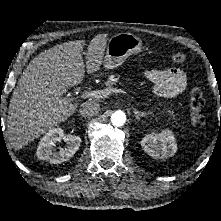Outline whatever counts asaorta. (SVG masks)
I'll return each instance as SVG.
<instances>
[{
    "instance_id": "aorta-1",
    "label": "aorta",
    "mask_w": 221,
    "mask_h": 221,
    "mask_svg": "<svg viewBox=\"0 0 221 221\" xmlns=\"http://www.w3.org/2000/svg\"><path fill=\"white\" fill-rule=\"evenodd\" d=\"M126 122V115L123 111H115L111 116V123L114 126L121 127Z\"/></svg>"
}]
</instances>
